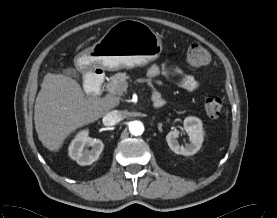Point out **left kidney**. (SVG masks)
Wrapping results in <instances>:
<instances>
[{
    "label": "left kidney",
    "mask_w": 277,
    "mask_h": 218,
    "mask_svg": "<svg viewBox=\"0 0 277 218\" xmlns=\"http://www.w3.org/2000/svg\"><path fill=\"white\" fill-rule=\"evenodd\" d=\"M184 130L190 137V144L186 146L179 145L177 140L179 131L177 130L170 131L166 136V141L174 153L184 156L194 155L201 148L204 140L202 121L197 117H186L184 119Z\"/></svg>",
    "instance_id": "1"
}]
</instances>
